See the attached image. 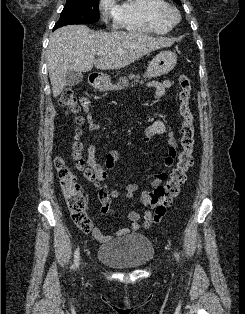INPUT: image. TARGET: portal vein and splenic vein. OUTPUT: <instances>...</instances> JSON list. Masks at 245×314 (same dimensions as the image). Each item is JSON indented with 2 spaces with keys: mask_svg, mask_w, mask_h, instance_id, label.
Wrapping results in <instances>:
<instances>
[{
  "mask_svg": "<svg viewBox=\"0 0 245 314\" xmlns=\"http://www.w3.org/2000/svg\"><path fill=\"white\" fill-rule=\"evenodd\" d=\"M96 54H97V55H100V56H103V55H105V52L99 51V52H97Z\"/></svg>",
  "mask_w": 245,
  "mask_h": 314,
  "instance_id": "18ae733b",
  "label": "portal vein and splenic vein"
}]
</instances>
